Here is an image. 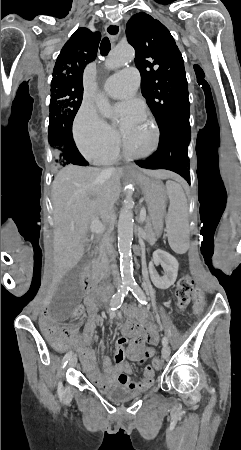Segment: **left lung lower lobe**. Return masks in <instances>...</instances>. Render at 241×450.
I'll use <instances>...</instances> for the list:
<instances>
[{
	"label": "left lung lower lobe",
	"instance_id": "0a47b994",
	"mask_svg": "<svg viewBox=\"0 0 241 450\" xmlns=\"http://www.w3.org/2000/svg\"><path fill=\"white\" fill-rule=\"evenodd\" d=\"M189 108L175 111L161 124L157 151L147 160L136 164L146 169H167L180 174L190 184L189 158L190 139Z\"/></svg>",
	"mask_w": 241,
	"mask_h": 450
}]
</instances>
